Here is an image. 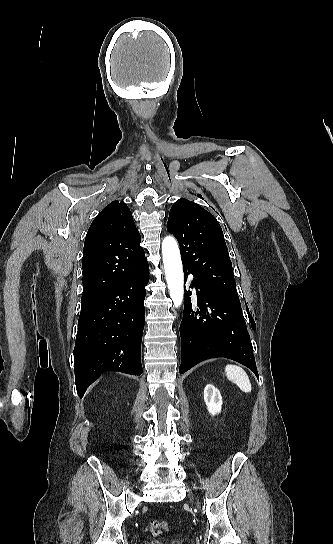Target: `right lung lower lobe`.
<instances>
[{
    "label": "right lung lower lobe",
    "instance_id": "obj_1",
    "mask_svg": "<svg viewBox=\"0 0 333 544\" xmlns=\"http://www.w3.org/2000/svg\"><path fill=\"white\" fill-rule=\"evenodd\" d=\"M148 263L104 295L82 303L74 348L77 393L106 371L140 375Z\"/></svg>",
    "mask_w": 333,
    "mask_h": 544
}]
</instances>
